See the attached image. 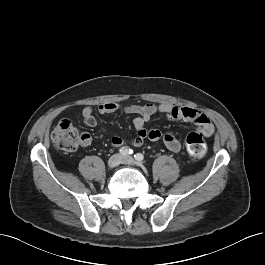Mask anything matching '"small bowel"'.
<instances>
[{"label": "small bowel", "instance_id": "1", "mask_svg": "<svg viewBox=\"0 0 265 265\" xmlns=\"http://www.w3.org/2000/svg\"><path fill=\"white\" fill-rule=\"evenodd\" d=\"M122 109L126 114H136V117L133 120V126L136 131V136L131 140V144L135 147L141 146L145 140L150 141H162L165 146L172 152H179L181 149V144L179 140L172 134L168 132H162L159 129H150L145 128V124L151 119V117L157 113H163L172 119H179L192 122L196 125L197 129L206 136H210L214 132V127L210 119L192 107H178L172 104H128L121 106L117 103L108 102L99 105L98 111L101 114H110L114 113L117 110ZM82 117L84 123L87 126L95 127L98 125V122L93 114V109L91 107H85L82 110ZM102 130H105L102 127ZM92 138L90 134L83 133L81 143L83 146L90 145ZM127 141L119 136H113L111 138V144L114 147H121L125 145Z\"/></svg>", "mask_w": 265, "mask_h": 265}]
</instances>
